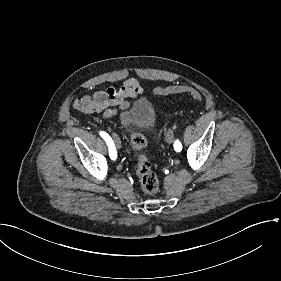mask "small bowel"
Wrapping results in <instances>:
<instances>
[{
  "label": "small bowel",
  "mask_w": 281,
  "mask_h": 281,
  "mask_svg": "<svg viewBox=\"0 0 281 281\" xmlns=\"http://www.w3.org/2000/svg\"><path fill=\"white\" fill-rule=\"evenodd\" d=\"M142 93V86L133 77L110 85L105 91H96L92 95L78 97L73 108L86 114H100L105 118L115 117L130 107L129 100L136 99Z\"/></svg>",
  "instance_id": "1"
}]
</instances>
